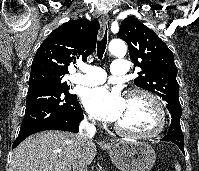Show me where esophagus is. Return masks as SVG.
Wrapping results in <instances>:
<instances>
[{
    "label": "esophagus",
    "mask_w": 199,
    "mask_h": 171,
    "mask_svg": "<svg viewBox=\"0 0 199 171\" xmlns=\"http://www.w3.org/2000/svg\"><path fill=\"white\" fill-rule=\"evenodd\" d=\"M109 20H110V19H109L108 13H104V14L102 15V21H101L103 28H105V27L107 26Z\"/></svg>",
    "instance_id": "esophagus-1"
}]
</instances>
